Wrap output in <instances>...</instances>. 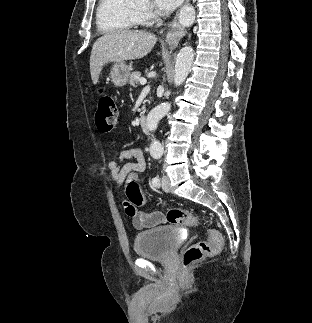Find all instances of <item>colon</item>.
Listing matches in <instances>:
<instances>
[{
  "label": "colon",
  "instance_id": "1",
  "mask_svg": "<svg viewBox=\"0 0 312 323\" xmlns=\"http://www.w3.org/2000/svg\"><path fill=\"white\" fill-rule=\"evenodd\" d=\"M119 119V108L112 95L102 96L98 101L95 123L101 132L113 130ZM138 174L133 172L131 177H126V196L128 200L123 201V208L129 217L136 215L135 207L145 202L141 193V188L136 182ZM167 220L170 224H184L196 226L199 223L198 218L189 210L170 207L167 211ZM224 247V240L214 231L208 232L207 241L198 242L187 248L183 255L182 269H189L191 264L200 262L205 256H212Z\"/></svg>",
  "mask_w": 312,
  "mask_h": 323
}]
</instances>
